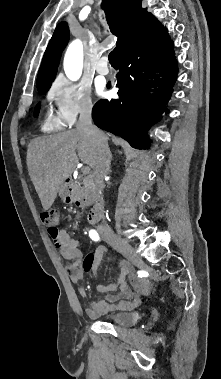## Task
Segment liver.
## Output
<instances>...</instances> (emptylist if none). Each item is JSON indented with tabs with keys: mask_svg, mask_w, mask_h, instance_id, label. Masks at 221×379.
<instances>
[{
	"mask_svg": "<svg viewBox=\"0 0 221 379\" xmlns=\"http://www.w3.org/2000/svg\"><path fill=\"white\" fill-rule=\"evenodd\" d=\"M105 138L107 141L108 137ZM97 152L95 138L78 129L38 137L29 143L28 171L45 211L52 206L59 187L71 176L79 160L94 168Z\"/></svg>",
	"mask_w": 221,
	"mask_h": 379,
	"instance_id": "liver-1",
	"label": "liver"
}]
</instances>
